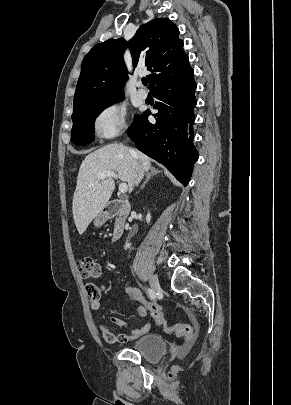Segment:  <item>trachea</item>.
<instances>
[{
    "instance_id": "obj_1",
    "label": "trachea",
    "mask_w": 291,
    "mask_h": 405,
    "mask_svg": "<svg viewBox=\"0 0 291 405\" xmlns=\"http://www.w3.org/2000/svg\"><path fill=\"white\" fill-rule=\"evenodd\" d=\"M143 85L147 86L148 85V80L147 79H143L142 80Z\"/></svg>"
}]
</instances>
